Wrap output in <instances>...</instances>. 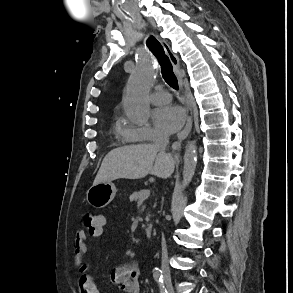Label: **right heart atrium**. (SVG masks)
I'll list each match as a JSON object with an SVG mask.
<instances>
[{
    "label": "right heart atrium",
    "instance_id": "right-heart-atrium-1",
    "mask_svg": "<svg viewBox=\"0 0 293 293\" xmlns=\"http://www.w3.org/2000/svg\"><path fill=\"white\" fill-rule=\"evenodd\" d=\"M125 137L131 141H152L164 135L149 124L127 125Z\"/></svg>",
    "mask_w": 293,
    "mask_h": 293
}]
</instances>
